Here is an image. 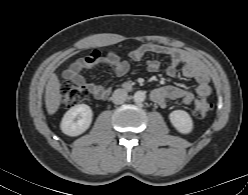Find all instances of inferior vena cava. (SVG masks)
Returning a JSON list of instances; mask_svg holds the SVG:
<instances>
[{"instance_id":"1","label":"inferior vena cava","mask_w":248,"mask_h":195,"mask_svg":"<svg viewBox=\"0 0 248 195\" xmlns=\"http://www.w3.org/2000/svg\"><path fill=\"white\" fill-rule=\"evenodd\" d=\"M127 92L124 89H116L112 94V101L114 104H122L127 99Z\"/></svg>"}]
</instances>
